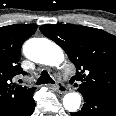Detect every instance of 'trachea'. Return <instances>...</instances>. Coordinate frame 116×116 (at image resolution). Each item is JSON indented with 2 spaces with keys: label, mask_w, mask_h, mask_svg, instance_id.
I'll use <instances>...</instances> for the list:
<instances>
[{
  "label": "trachea",
  "mask_w": 116,
  "mask_h": 116,
  "mask_svg": "<svg viewBox=\"0 0 116 116\" xmlns=\"http://www.w3.org/2000/svg\"><path fill=\"white\" fill-rule=\"evenodd\" d=\"M55 82L53 81V79L50 77V75L48 74V72L46 70H43L41 72L40 77L38 78L36 84L37 85H41V84H54Z\"/></svg>",
  "instance_id": "trachea-1"
}]
</instances>
